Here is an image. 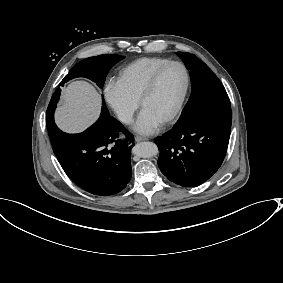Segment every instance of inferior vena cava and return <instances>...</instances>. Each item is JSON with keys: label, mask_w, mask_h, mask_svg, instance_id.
Returning <instances> with one entry per match:
<instances>
[{"label": "inferior vena cava", "mask_w": 283, "mask_h": 283, "mask_svg": "<svg viewBox=\"0 0 283 283\" xmlns=\"http://www.w3.org/2000/svg\"><path fill=\"white\" fill-rule=\"evenodd\" d=\"M120 121L125 124H130L133 121V111L130 108H120L116 112Z\"/></svg>", "instance_id": "602c4592"}]
</instances>
